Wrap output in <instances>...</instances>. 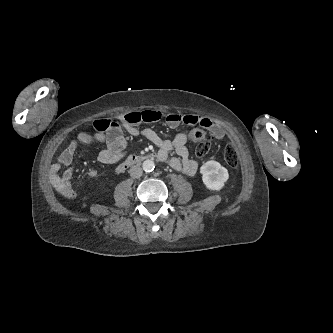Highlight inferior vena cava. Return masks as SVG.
Returning a JSON list of instances; mask_svg holds the SVG:
<instances>
[{"label":"inferior vena cava","instance_id":"inferior-vena-cava-1","mask_svg":"<svg viewBox=\"0 0 333 333\" xmlns=\"http://www.w3.org/2000/svg\"><path fill=\"white\" fill-rule=\"evenodd\" d=\"M142 168L139 166H132L129 170V174L133 178H139L142 176Z\"/></svg>","mask_w":333,"mask_h":333}]
</instances>
